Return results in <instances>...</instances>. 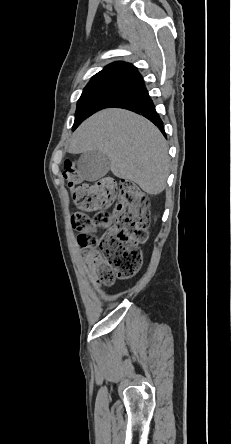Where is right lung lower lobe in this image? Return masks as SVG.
Wrapping results in <instances>:
<instances>
[{
    "mask_svg": "<svg viewBox=\"0 0 231 444\" xmlns=\"http://www.w3.org/2000/svg\"><path fill=\"white\" fill-rule=\"evenodd\" d=\"M110 107L125 108L138 114H142L153 122L161 130L164 136H166L163 122L155 111V107L145 86L127 93Z\"/></svg>",
    "mask_w": 231,
    "mask_h": 444,
    "instance_id": "right-lung-lower-lobe-1",
    "label": "right lung lower lobe"
}]
</instances>
